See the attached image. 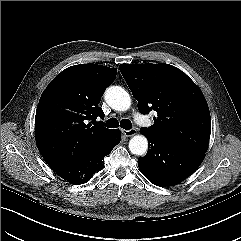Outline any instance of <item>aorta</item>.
I'll return each instance as SVG.
<instances>
[{"label":"aorta","mask_w":241,"mask_h":241,"mask_svg":"<svg viewBox=\"0 0 241 241\" xmlns=\"http://www.w3.org/2000/svg\"><path fill=\"white\" fill-rule=\"evenodd\" d=\"M108 105L117 111H126L131 106L129 93L120 86H110L104 94ZM148 149V140L143 135H135L129 141V150L137 156L145 155Z\"/></svg>","instance_id":"obj_1"}]
</instances>
